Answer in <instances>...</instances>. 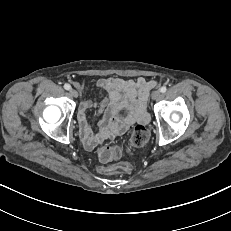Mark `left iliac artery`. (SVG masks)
<instances>
[{
    "label": "left iliac artery",
    "instance_id": "1",
    "mask_svg": "<svg viewBox=\"0 0 231 231\" xmlns=\"http://www.w3.org/2000/svg\"><path fill=\"white\" fill-rule=\"evenodd\" d=\"M166 90H167V88H166L165 86H162V87L160 88V92H161V93H165Z\"/></svg>",
    "mask_w": 231,
    "mask_h": 231
}]
</instances>
